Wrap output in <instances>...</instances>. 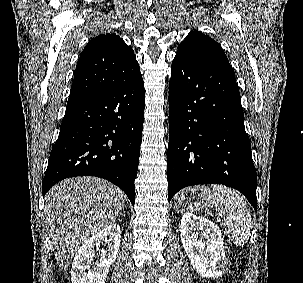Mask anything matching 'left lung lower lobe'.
Wrapping results in <instances>:
<instances>
[{
	"instance_id": "1",
	"label": "left lung lower lobe",
	"mask_w": 303,
	"mask_h": 283,
	"mask_svg": "<svg viewBox=\"0 0 303 283\" xmlns=\"http://www.w3.org/2000/svg\"><path fill=\"white\" fill-rule=\"evenodd\" d=\"M169 113L168 201L187 186L222 184L239 190L257 210V175L228 59L175 57Z\"/></svg>"
}]
</instances>
